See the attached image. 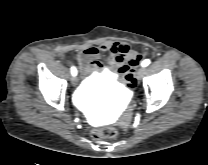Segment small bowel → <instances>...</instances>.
Listing matches in <instances>:
<instances>
[{"mask_svg": "<svg viewBox=\"0 0 208 165\" xmlns=\"http://www.w3.org/2000/svg\"><path fill=\"white\" fill-rule=\"evenodd\" d=\"M101 52L108 53V61L113 73L124 74L127 69L134 68L140 60V56L126 43L104 42L96 47H88L78 55V64L84 75L102 70L103 65L98 60Z\"/></svg>", "mask_w": 208, "mask_h": 165, "instance_id": "obj_1", "label": "small bowel"}]
</instances>
